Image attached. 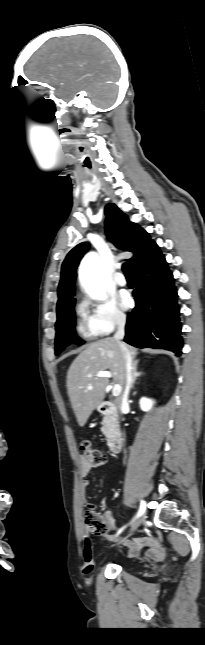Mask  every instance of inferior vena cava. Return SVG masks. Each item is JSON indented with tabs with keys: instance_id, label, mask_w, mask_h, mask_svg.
Returning <instances> with one entry per match:
<instances>
[{
	"instance_id": "1",
	"label": "inferior vena cava",
	"mask_w": 205,
	"mask_h": 645,
	"mask_svg": "<svg viewBox=\"0 0 205 645\" xmlns=\"http://www.w3.org/2000/svg\"><path fill=\"white\" fill-rule=\"evenodd\" d=\"M125 323L126 320L125 318H120L117 322V331L114 335V339L120 343V347L123 352L124 360H125V372H126V383L124 387L123 394L118 402V408L121 410L125 405L128 404V397L130 393V388L132 386V381H133V373H132V358L130 355L129 350L127 347L122 344L120 341L124 338L125 335Z\"/></svg>"
}]
</instances>
